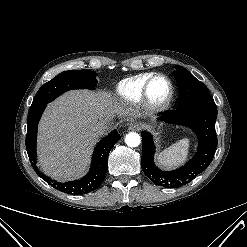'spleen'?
I'll list each match as a JSON object with an SVG mask.
<instances>
[{
    "mask_svg": "<svg viewBox=\"0 0 247 247\" xmlns=\"http://www.w3.org/2000/svg\"><path fill=\"white\" fill-rule=\"evenodd\" d=\"M189 153V139L183 138L172 144L157 156V162L163 167H176L185 162Z\"/></svg>",
    "mask_w": 247,
    "mask_h": 247,
    "instance_id": "1",
    "label": "spleen"
}]
</instances>
